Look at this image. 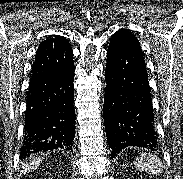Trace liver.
<instances>
[{"instance_id":"6515ba94","label":"liver","mask_w":183,"mask_h":179,"mask_svg":"<svg viewBox=\"0 0 183 179\" xmlns=\"http://www.w3.org/2000/svg\"><path fill=\"white\" fill-rule=\"evenodd\" d=\"M42 160H43V157L37 156L36 158H33L32 162H30L28 165L26 164L23 166L24 172L26 173V172H30V171L36 169L40 165Z\"/></svg>"}]
</instances>
